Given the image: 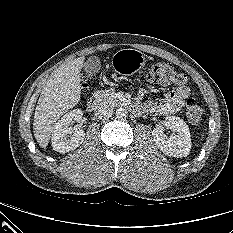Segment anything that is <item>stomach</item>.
<instances>
[{
  "label": "stomach",
  "mask_w": 233,
  "mask_h": 233,
  "mask_svg": "<svg viewBox=\"0 0 233 233\" xmlns=\"http://www.w3.org/2000/svg\"><path fill=\"white\" fill-rule=\"evenodd\" d=\"M146 63L145 55L136 49H122L117 51L112 57L113 68L121 74H132Z\"/></svg>",
  "instance_id": "obj_1"
}]
</instances>
